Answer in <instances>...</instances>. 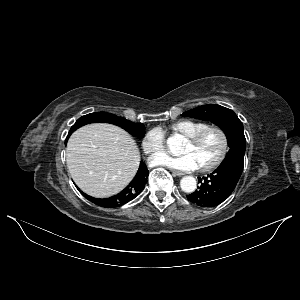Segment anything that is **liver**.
<instances>
[{"label": "liver", "instance_id": "1", "mask_svg": "<svg viewBox=\"0 0 300 300\" xmlns=\"http://www.w3.org/2000/svg\"><path fill=\"white\" fill-rule=\"evenodd\" d=\"M67 167L77 186L90 196L105 198L122 191L135 176L139 149L120 127L105 123L77 129L67 144Z\"/></svg>", "mask_w": 300, "mask_h": 300}]
</instances>
